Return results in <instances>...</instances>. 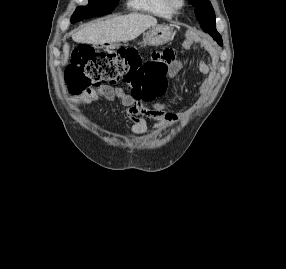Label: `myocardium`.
I'll return each instance as SVG.
<instances>
[{
	"mask_svg": "<svg viewBox=\"0 0 286 269\" xmlns=\"http://www.w3.org/2000/svg\"><path fill=\"white\" fill-rule=\"evenodd\" d=\"M168 8L171 12H179L185 5V0H166Z\"/></svg>",
	"mask_w": 286,
	"mask_h": 269,
	"instance_id": "f54148a6",
	"label": "myocardium"
}]
</instances>
